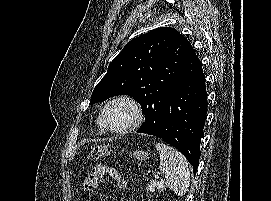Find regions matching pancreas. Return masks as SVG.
I'll use <instances>...</instances> for the list:
<instances>
[{
	"instance_id": "cf45deb5",
	"label": "pancreas",
	"mask_w": 271,
	"mask_h": 201,
	"mask_svg": "<svg viewBox=\"0 0 271 201\" xmlns=\"http://www.w3.org/2000/svg\"><path fill=\"white\" fill-rule=\"evenodd\" d=\"M155 189H158L160 192L165 190V185L163 182L152 181L147 184L146 191L153 192Z\"/></svg>"
}]
</instances>
